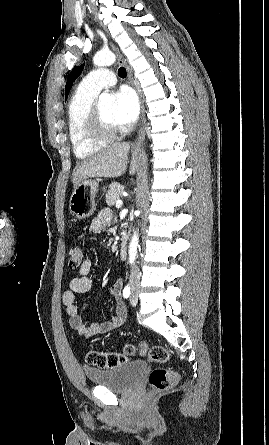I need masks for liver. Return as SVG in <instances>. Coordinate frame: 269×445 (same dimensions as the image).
<instances>
[{"mask_svg": "<svg viewBox=\"0 0 269 445\" xmlns=\"http://www.w3.org/2000/svg\"><path fill=\"white\" fill-rule=\"evenodd\" d=\"M130 145L126 142L114 144L84 160L73 173L74 189L88 178H116L124 174L127 168ZM144 161V154L135 150L132 153L130 174L134 175Z\"/></svg>", "mask_w": 269, "mask_h": 445, "instance_id": "1", "label": "liver"}]
</instances>
